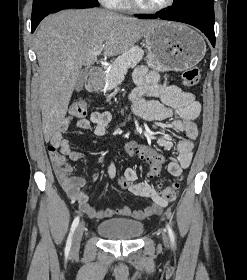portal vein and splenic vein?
Returning <instances> with one entry per match:
<instances>
[{"label":"portal vein and splenic vein","instance_id":"portal-vein-and-splenic-vein-1","mask_svg":"<svg viewBox=\"0 0 247 280\" xmlns=\"http://www.w3.org/2000/svg\"><path fill=\"white\" fill-rule=\"evenodd\" d=\"M102 50H103V46H99V47L95 48L91 53L94 56H98L102 52Z\"/></svg>","mask_w":247,"mask_h":280}]
</instances>
